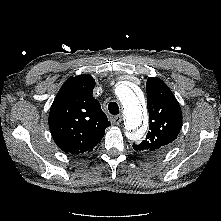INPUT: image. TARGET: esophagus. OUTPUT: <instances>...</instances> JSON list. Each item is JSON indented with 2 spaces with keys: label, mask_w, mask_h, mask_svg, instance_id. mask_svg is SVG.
I'll list each match as a JSON object with an SVG mask.
<instances>
[{
  "label": "esophagus",
  "mask_w": 221,
  "mask_h": 221,
  "mask_svg": "<svg viewBox=\"0 0 221 221\" xmlns=\"http://www.w3.org/2000/svg\"><path fill=\"white\" fill-rule=\"evenodd\" d=\"M122 121V116L121 115H117L112 117V122L116 125H118L119 123H121Z\"/></svg>",
  "instance_id": "34e87169"
}]
</instances>
